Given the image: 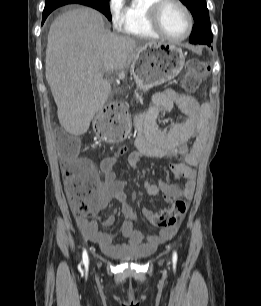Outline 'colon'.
I'll return each mask as SVG.
<instances>
[{"label": "colon", "mask_w": 261, "mask_h": 306, "mask_svg": "<svg viewBox=\"0 0 261 306\" xmlns=\"http://www.w3.org/2000/svg\"><path fill=\"white\" fill-rule=\"evenodd\" d=\"M207 69L204 62L198 59H190L187 62V74L184 78V86L187 90L195 89L206 77ZM123 106L116 103L107 107L108 115L117 120L111 124L103 123L101 132L108 138L116 141L125 139L128 135V128L120 113ZM58 147L64 159L70 162L66 169V187L70 196L73 208L78 212L88 210L94 198L93 185L95 182V170L88 162L78 163L76 152L78 141L67 134H62L58 141ZM187 210L186 202L178 200L173 208L161 212H149L147 220L156 227H172L179 217Z\"/></svg>", "instance_id": "5ec220e1"}]
</instances>
